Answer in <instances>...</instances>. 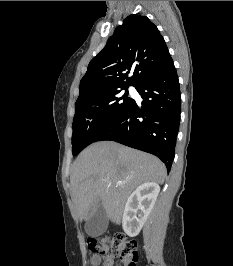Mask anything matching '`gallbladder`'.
<instances>
[{"instance_id":"1","label":"gallbladder","mask_w":233,"mask_h":266,"mask_svg":"<svg viewBox=\"0 0 233 266\" xmlns=\"http://www.w3.org/2000/svg\"><path fill=\"white\" fill-rule=\"evenodd\" d=\"M108 226V218L102 204H98L94 212L87 218L85 231L89 236L102 235Z\"/></svg>"}]
</instances>
